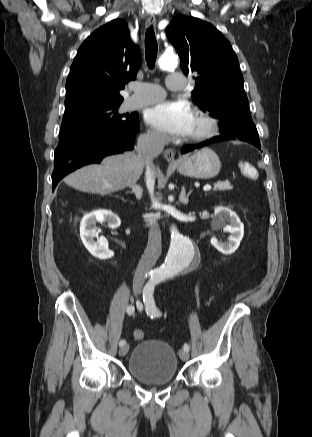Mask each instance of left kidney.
I'll return each mask as SVG.
<instances>
[{
    "label": "left kidney",
    "mask_w": 312,
    "mask_h": 437,
    "mask_svg": "<svg viewBox=\"0 0 312 437\" xmlns=\"http://www.w3.org/2000/svg\"><path fill=\"white\" fill-rule=\"evenodd\" d=\"M211 226L214 230L223 228L225 232L230 233L227 242L218 241V239L212 237L211 244L225 255L234 253L244 235V225L238 215L229 208L217 206Z\"/></svg>",
    "instance_id": "left-kidney-1"
}]
</instances>
